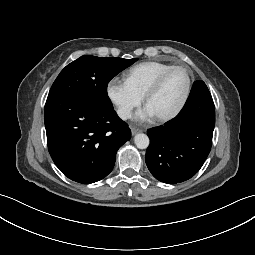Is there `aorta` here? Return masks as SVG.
<instances>
[{
    "label": "aorta",
    "mask_w": 255,
    "mask_h": 255,
    "mask_svg": "<svg viewBox=\"0 0 255 255\" xmlns=\"http://www.w3.org/2000/svg\"><path fill=\"white\" fill-rule=\"evenodd\" d=\"M135 145L139 149H146L149 146L150 140L146 134H137L134 138Z\"/></svg>",
    "instance_id": "aorta-1"
}]
</instances>
